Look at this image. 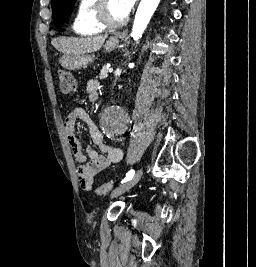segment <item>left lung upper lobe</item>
<instances>
[{
	"label": "left lung upper lobe",
	"mask_w": 256,
	"mask_h": 267,
	"mask_svg": "<svg viewBox=\"0 0 256 267\" xmlns=\"http://www.w3.org/2000/svg\"><path fill=\"white\" fill-rule=\"evenodd\" d=\"M76 0H51L53 21L58 29L70 16Z\"/></svg>",
	"instance_id": "left-lung-upper-lobe-1"
}]
</instances>
